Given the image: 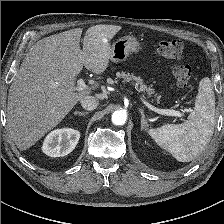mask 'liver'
<instances>
[{"label": "liver", "instance_id": "obj_1", "mask_svg": "<svg viewBox=\"0 0 224 224\" xmlns=\"http://www.w3.org/2000/svg\"><path fill=\"white\" fill-rule=\"evenodd\" d=\"M118 25L87 29L80 47L82 28L71 29L37 41L27 52L11 83L6 120L9 134L26 150L55 128L72 108L99 88L98 83L75 90V76L83 67L100 75L109 65V41Z\"/></svg>", "mask_w": 224, "mask_h": 224}]
</instances>
